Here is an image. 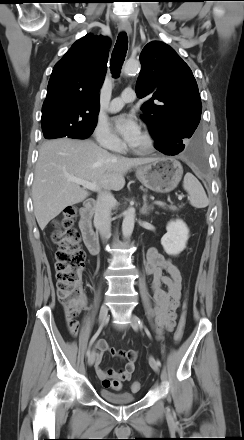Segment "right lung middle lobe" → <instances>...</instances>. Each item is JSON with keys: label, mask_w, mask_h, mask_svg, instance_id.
Returning a JSON list of instances; mask_svg holds the SVG:
<instances>
[{"label": "right lung middle lobe", "mask_w": 244, "mask_h": 440, "mask_svg": "<svg viewBox=\"0 0 244 440\" xmlns=\"http://www.w3.org/2000/svg\"><path fill=\"white\" fill-rule=\"evenodd\" d=\"M41 124L42 131L46 139H54L60 137L86 139L92 134L97 124V120L82 125H76L70 121L65 120L41 121Z\"/></svg>", "instance_id": "1"}]
</instances>
